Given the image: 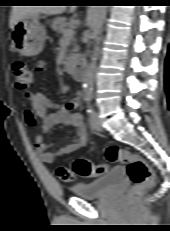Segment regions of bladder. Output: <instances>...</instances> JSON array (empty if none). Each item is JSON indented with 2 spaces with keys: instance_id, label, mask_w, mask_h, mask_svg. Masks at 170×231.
<instances>
[{
  "instance_id": "31cf9c89",
  "label": "bladder",
  "mask_w": 170,
  "mask_h": 231,
  "mask_svg": "<svg viewBox=\"0 0 170 231\" xmlns=\"http://www.w3.org/2000/svg\"><path fill=\"white\" fill-rule=\"evenodd\" d=\"M126 179V172L123 167H115L90 182L80 183L71 188V192L80 198L94 199L101 198L113 191Z\"/></svg>"
}]
</instances>
